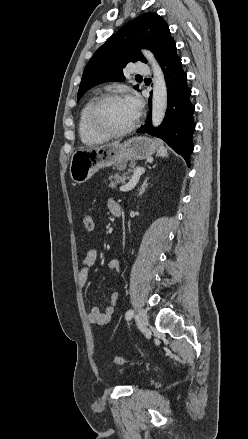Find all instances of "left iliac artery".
Instances as JSON below:
<instances>
[{
  "mask_svg": "<svg viewBox=\"0 0 248 439\" xmlns=\"http://www.w3.org/2000/svg\"><path fill=\"white\" fill-rule=\"evenodd\" d=\"M133 315H134V311L133 310H128L127 312H126V314H125V318H126V320H130L132 317H133Z\"/></svg>",
  "mask_w": 248,
  "mask_h": 439,
  "instance_id": "1",
  "label": "left iliac artery"
}]
</instances>
